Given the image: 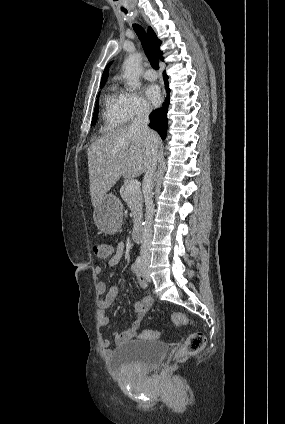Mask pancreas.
<instances>
[{
    "instance_id": "cf45deb5",
    "label": "pancreas",
    "mask_w": 285,
    "mask_h": 424,
    "mask_svg": "<svg viewBox=\"0 0 285 424\" xmlns=\"http://www.w3.org/2000/svg\"><path fill=\"white\" fill-rule=\"evenodd\" d=\"M120 195L123 201L132 209L133 222L137 224L142 217L143 197L140 189L131 192L128 183H124L120 189Z\"/></svg>"
}]
</instances>
